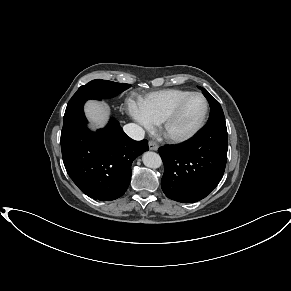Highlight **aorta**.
Instances as JSON below:
<instances>
[{"instance_id":"1","label":"aorta","mask_w":291,"mask_h":291,"mask_svg":"<svg viewBox=\"0 0 291 291\" xmlns=\"http://www.w3.org/2000/svg\"><path fill=\"white\" fill-rule=\"evenodd\" d=\"M143 164L149 168H159L162 165V160L159 154L155 152H145L142 156Z\"/></svg>"}]
</instances>
